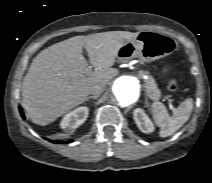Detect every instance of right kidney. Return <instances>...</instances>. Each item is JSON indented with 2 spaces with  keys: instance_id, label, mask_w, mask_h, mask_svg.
<instances>
[{
  "instance_id": "right-kidney-1",
  "label": "right kidney",
  "mask_w": 212,
  "mask_h": 183,
  "mask_svg": "<svg viewBox=\"0 0 212 183\" xmlns=\"http://www.w3.org/2000/svg\"><path fill=\"white\" fill-rule=\"evenodd\" d=\"M88 114L89 109L87 107H78L63 117L60 127L66 132L72 133L86 121Z\"/></svg>"
}]
</instances>
